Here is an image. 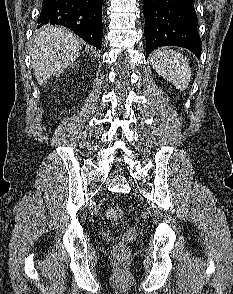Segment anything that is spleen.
I'll use <instances>...</instances> for the list:
<instances>
[{
  "label": "spleen",
  "instance_id": "spleen-1",
  "mask_svg": "<svg viewBox=\"0 0 233 294\" xmlns=\"http://www.w3.org/2000/svg\"><path fill=\"white\" fill-rule=\"evenodd\" d=\"M153 69L177 89L184 90L191 79V68L187 59L171 49H157L151 56Z\"/></svg>",
  "mask_w": 233,
  "mask_h": 294
}]
</instances>
